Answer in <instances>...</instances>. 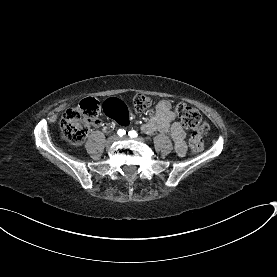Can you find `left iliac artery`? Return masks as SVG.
Here are the masks:
<instances>
[{"mask_svg": "<svg viewBox=\"0 0 277 277\" xmlns=\"http://www.w3.org/2000/svg\"><path fill=\"white\" fill-rule=\"evenodd\" d=\"M128 135L131 137V138H135L137 137V132L135 130H131L128 132Z\"/></svg>", "mask_w": 277, "mask_h": 277, "instance_id": "1", "label": "left iliac artery"}]
</instances>
